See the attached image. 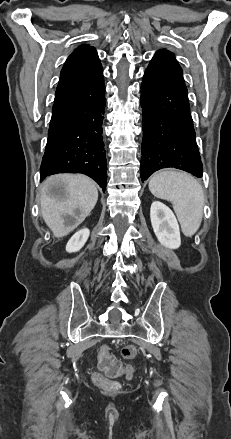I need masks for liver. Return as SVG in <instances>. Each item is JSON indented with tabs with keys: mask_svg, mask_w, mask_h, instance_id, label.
<instances>
[{
	"mask_svg": "<svg viewBox=\"0 0 231 439\" xmlns=\"http://www.w3.org/2000/svg\"><path fill=\"white\" fill-rule=\"evenodd\" d=\"M98 200L95 182L81 174H57L42 184L40 207L46 225L57 238L66 236L92 211ZM74 218V225L64 217Z\"/></svg>",
	"mask_w": 231,
	"mask_h": 439,
	"instance_id": "liver-1",
	"label": "liver"
}]
</instances>
